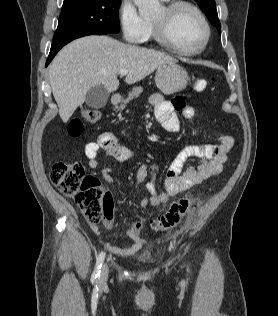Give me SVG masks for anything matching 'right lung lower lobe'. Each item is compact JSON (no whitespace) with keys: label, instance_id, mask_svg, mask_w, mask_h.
<instances>
[{"label":"right lung lower lobe","instance_id":"1","mask_svg":"<svg viewBox=\"0 0 278 316\" xmlns=\"http://www.w3.org/2000/svg\"><path fill=\"white\" fill-rule=\"evenodd\" d=\"M89 35H105V34H89ZM86 36V35H85ZM74 40V39H73ZM72 41V40H71ZM70 41L68 42H65L59 46H55V47H51V50H50V54L48 56V59L46 61V66L51 62V60L54 58V56L56 55V53L64 46L66 45L67 43H69Z\"/></svg>","mask_w":278,"mask_h":316}]
</instances>
